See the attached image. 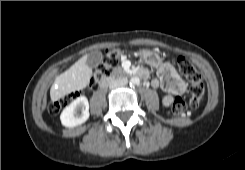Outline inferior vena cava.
Returning a JSON list of instances; mask_svg holds the SVG:
<instances>
[{
    "label": "inferior vena cava",
    "instance_id": "obj_1",
    "mask_svg": "<svg viewBox=\"0 0 245 170\" xmlns=\"http://www.w3.org/2000/svg\"><path fill=\"white\" fill-rule=\"evenodd\" d=\"M128 83V80L126 77H120L118 79H115L113 81L110 82L109 84V88L110 89H115L118 87H122L125 86Z\"/></svg>",
    "mask_w": 245,
    "mask_h": 170
}]
</instances>
